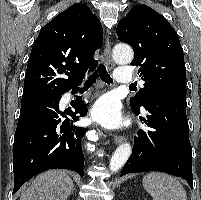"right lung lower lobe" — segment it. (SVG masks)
Returning a JSON list of instances; mask_svg holds the SVG:
<instances>
[{
    "label": "right lung lower lobe",
    "mask_w": 201,
    "mask_h": 200,
    "mask_svg": "<svg viewBox=\"0 0 201 200\" xmlns=\"http://www.w3.org/2000/svg\"><path fill=\"white\" fill-rule=\"evenodd\" d=\"M78 87L73 88L75 93ZM62 94L50 95L24 102L14 136L13 194L31 177L52 168L68 169L83 177L84 155L81 139L84 128L72 125L87 113L81 98L75 111H59ZM59 114L66 119L61 123ZM72 117V120L67 118Z\"/></svg>",
    "instance_id": "obj_1"
}]
</instances>
